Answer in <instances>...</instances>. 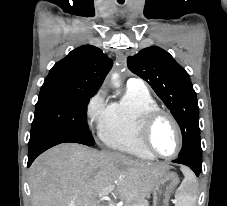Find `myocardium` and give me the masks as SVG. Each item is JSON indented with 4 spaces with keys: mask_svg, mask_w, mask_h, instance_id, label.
Wrapping results in <instances>:
<instances>
[{
    "mask_svg": "<svg viewBox=\"0 0 227 206\" xmlns=\"http://www.w3.org/2000/svg\"><path fill=\"white\" fill-rule=\"evenodd\" d=\"M162 117L168 119L171 122V124L173 125V127L175 129L176 136H177V147H176L175 151L170 155L160 154L158 151H156V149L153 147V145L151 143L152 129H153L154 125L156 124V122ZM139 140H140L141 145L147 152H149L154 157L163 158V159H169V158H173V157L177 156L178 153L180 152V150L182 148V144H183L182 131H181V128H180L177 120L175 119V117L172 114H170L169 112H167L161 108L152 109V110L146 112L142 116L140 123H139Z\"/></svg>",
    "mask_w": 227,
    "mask_h": 206,
    "instance_id": "1",
    "label": "myocardium"
}]
</instances>
